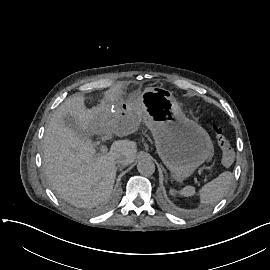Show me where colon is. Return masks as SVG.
<instances>
[{"instance_id": "obj_1", "label": "colon", "mask_w": 270, "mask_h": 270, "mask_svg": "<svg viewBox=\"0 0 270 270\" xmlns=\"http://www.w3.org/2000/svg\"><path fill=\"white\" fill-rule=\"evenodd\" d=\"M212 131L217 138V145L223 151L221 160L225 164H230L234 160L233 150L229 140L225 137L223 129L217 125H212Z\"/></svg>"}]
</instances>
